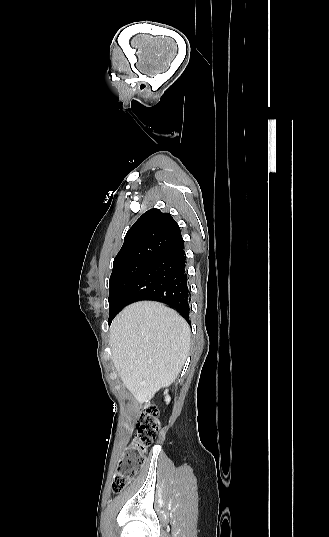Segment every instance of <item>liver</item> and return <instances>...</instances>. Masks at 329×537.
Segmentation results:
<instances>
[{
    "instance_id": "liver-1",
    "label": "liver",
    "mask_w": 329,
    "mask_h": 537,
    "mask_svg": "<svg viewBox=\"0 0 329 537\" xmlns=\"http://www.w3.org/2000/svg\"><path fill=\"white\" fill-rule=\"evenodd\" d=\"M112 361L123 384L142 403L179 375L190 328L173 309L142 301L125 307L110 326Z\"/></svg>"
}]
</instances>
